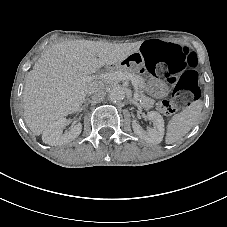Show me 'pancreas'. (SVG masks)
Returning <instances> with one entry per match:
<instances>
[{"label":"pancreas","instance_id":"pancreas-1","mask_svg":"<svg viewBox=\"0 0 227 227\" xmlns=\"http://www.w3.org/2000/svg\"><path fill=\"white\" fill-rule=\"evenodd\" d=\"M114 72L116 71H121V72H124V73H130L134 76L137 84H138V98L141 100V106L142 107H145V108H150L152 107V105L154 104V100L145 96L144 95V90L146 88V83H145V80L142 76L138 75V74H134L130 71H128L127 69L123 68V67H119L117 66L116 69L113 70Z\"/></svg>","mask_w":227,"mask_h":227}]
</instances>
